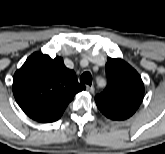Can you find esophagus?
<instances>
[{
	"label": "esophagus",
	"mask_w": 165,
	"mask_h": 154,
	"mask_svg": "<svg viewBox=\"0 0 165 154\" xmlns=\"http://www.w3.org/2000/svg\"><path fill=\"white\" fill-rule=\"evenodd\" d=\"M86 89H87V91H88L89 93H91V94H93L94 91H95L94 87H93V86H89V85L86 86Z\"/></svg>",
	"instance_id": "34e87169"
}]
</instances>
